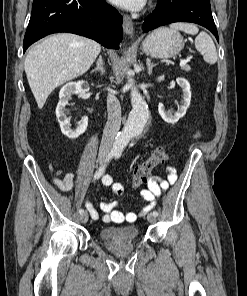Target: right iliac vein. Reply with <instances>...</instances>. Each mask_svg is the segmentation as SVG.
<instances>
[{"label": "right iliac vein", "instance_id": "1", "mask_svg": "<svg viewBox=\"0 0 247 296\" xmlns=\"http://www.w3.org/2000/svg\"><path fill=\"white\" fill-rule=\"evenodd\" d=\"M103 160H104V155H101V156L99 157V162L102 163ZM80 221H81L82 223H86V222L88 221V214H87V213H82V214L80 215Z\"/></svg>", "mask_w": 247, "mask_h": 296}]
</instances>
